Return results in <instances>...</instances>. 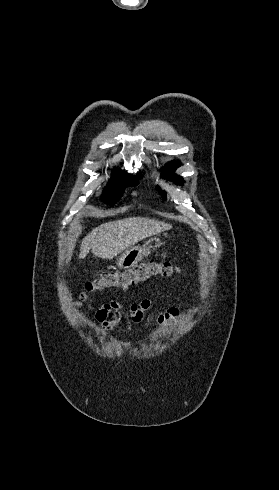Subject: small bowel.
<instances>
[{"mask_svg":"<svg viewBox=\"0 0 279 490\" xmlns=\"http://www.w3.org/2000/svg\"><path fill=\"white\" fill-rule=\"evenodd\" d=\"M152 305L153 303L150 299H142L132 303L129 308L131 320L133 322L142 321L145 312L151 309ZM123 307L124 304L116 300L104 304L95 312L94 322L99 323L105 329L112 328L120 320ZM192 311L195 312V309H192ZM179 316L180 310L176 307H171L157 315V323L162 329L166 330L172 326ZM94 322H91L90 326H93Z\"/></svg>","mask_w":279,"mask_h":490,"instance_id":"small-bowel-1","label":"small bowel"}]
</instances>
